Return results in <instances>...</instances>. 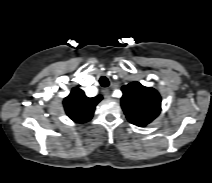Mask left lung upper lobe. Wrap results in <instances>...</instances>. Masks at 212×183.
Wrapping results in <instances>:
<instances>
[{"instance_id":"5c2ea615","label":"left lung upper lobe","mask_w":212,"mask_h":183,"mask_svg":"<svg viewBox=\"0 0 212 183\" xmlns=\"http://www.w3.org/2000/svg\"><path fill=\"white\" fill-rule=\"evenodd\" d=\"M122 91L121 106L132 124L144 127L159 115L161 97L154 88L132 82L124 85Z\"/></svg>"}]
</instances>
